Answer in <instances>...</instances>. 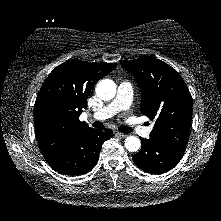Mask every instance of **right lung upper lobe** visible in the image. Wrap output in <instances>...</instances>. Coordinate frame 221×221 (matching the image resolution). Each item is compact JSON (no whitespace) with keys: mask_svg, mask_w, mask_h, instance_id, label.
Listing matches in <instances>:
<instances>
[{"mask_svg":"<svg viewBox=\"0 0 221 221\" xmlns=\"http://www.w3.org/2000/svg\"><path fill=\"white\" fill-rule=\"evenodd\" d=\"M116 64L69 60L46 78L34 105V124L40 151L46 161L64 150L90 128L79 120L93 85Z\"/></svg>","mask_w":221,"mask_h":221,"instance_id":"1","label":"right lung upper lobe"}]
</instances>
